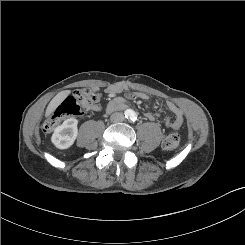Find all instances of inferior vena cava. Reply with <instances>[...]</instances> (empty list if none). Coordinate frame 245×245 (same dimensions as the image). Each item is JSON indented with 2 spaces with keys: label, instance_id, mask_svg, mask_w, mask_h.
<instances>
[{
  "label": "inferior vena cava",
  "instance_id": "inferior-vena-cava-1",
  "mask_svg": "<svg viewBox=\"0 0 245 245\" xmlns=\"http://www.w3.org/2000/svg\"><path fill=\"white\" fill-rule=\"evenodd\" d=\"M111 120L113 122H120L124 120V115L121 112H115L111 115Z\"/></svg>",
  "mask_w": 245,
  "mask_h": 245
}]
</instances>
